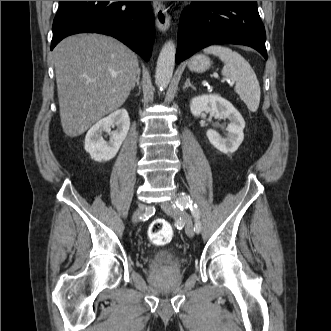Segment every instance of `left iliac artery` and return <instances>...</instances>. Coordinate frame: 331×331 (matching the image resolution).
<instances>
[{"label":"left iliac artery","mask_w":331,"mask_h":331,"mask_svg":"<svg viewBox=\"0 0 331 331\" xmlns=\"http://www.w3.org/2000/svg\"><path fill=\"white\" fill-rule=\"evenodd\" d=\"M176 206L179 207L181 210L189 208L194 219V231L196 233H199L201 231V222H200V213L199 209L196 204H193L192 201H190V198L185 194L182 193L180 197L175 202ZM175 206V205H174Z\"/></svg>","instance_id":"1"}]
</instances>
